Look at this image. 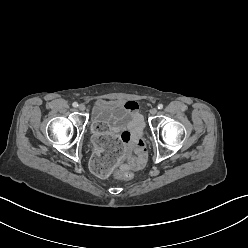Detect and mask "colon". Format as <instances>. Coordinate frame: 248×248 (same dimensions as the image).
Masks as SVG:
<instances>
[{"label":"colon","instance_id":"obj_1","mask_svg":"<svg viewBox=\"0 0 248 248\" xmlns=\"http://www.w3.org/2000/svg\"><path fill=\"white\" fill-rule=\"evenodd\" d=\"M95 132L98 137L95 139L94 144L101 153L92 159L91 167L97 174L106 177L111 172L109 166L114 159L119 160L124 155L121 149L122 142L117 137L112 138L114 135L113 130L104 123L96 124ZM122 135L124 136L125 134ZM114 175L126 181H130L133 178V175L126 170H117L114 172Z\"/></svg>","mask_w":248,"mask_h":248}]
</instances>
